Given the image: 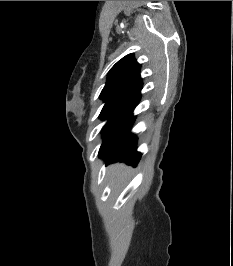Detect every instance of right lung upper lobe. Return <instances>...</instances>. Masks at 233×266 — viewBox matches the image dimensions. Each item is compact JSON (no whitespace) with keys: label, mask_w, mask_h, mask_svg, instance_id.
<instances>
[{"label":"right lung upper lobe","mask_w":233,"mask_h":266,"mask_svg":"<svg viewBox=\"0 0 233 266\" xmlns=\"http://www.w3.org/2000/svg\"><path fill=\"white\" fill-rule=\"evenodd\" d=\"M141 65L129 54L119 60L109 71L107 82L100 98L119 95L140 93L142 82L140 77Z\"/></svg>","instance_id":"cb5924a9"}]
</instances>
